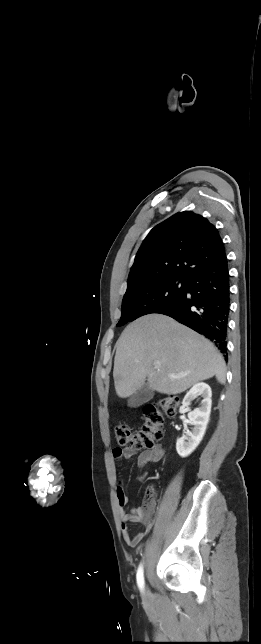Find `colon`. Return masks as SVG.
I'll use <instances>...</instances> for the list:
<instances>
[{
	"mask_svg": "<svg viewBox=\"0 0 261 644\" xmlns=\"http://www.w3.org/2000/svg\"><path fill=\"white\" fill-rule=\"evenodd\" d=\"M179 404L173 395L161 398L157 403H149L143 408V424L140 430L133 433L126 425L115 427L117 442L125 447L150 449L162 438L164 415L173 417Z\"/></svg>",
	"mask_w": 261,
	"mask_h": 644,
	"instance_id": "1",
	"label": "colon"
}]
</instances>
